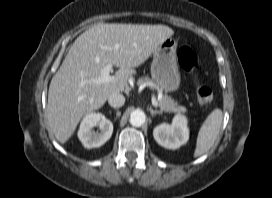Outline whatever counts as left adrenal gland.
I'll return each instance as SVG.
<instances>
[{
	"mask_svg": "<svg viewBox=\"0 0 272 198\" xmlns=\"http://www.w3.org/2000/svg\"><path fill=\"white\" fill-rule=\"evenodd\" d=\"M150 113H151V116H155L157 114H162V111H158V110H153L151 107H150Z\"/></svg>",
	"mask_w": 272,
	"mask_h": 198,
	"instance_id": "obj_1",
	"label": "left adrenal gland"
}]
</instances>
